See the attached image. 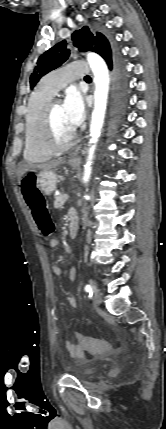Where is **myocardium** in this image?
<instances>
[{"label":"myocardium","instance_id":"myocardium-1","mask_svg":"<svg viewBox=\"0 0 166 429\" xmlns=\"http://www.w3.org/2000/svg\"><path fill=\"white\" fill-rule=\"evenodd\" d=\"M59 103H61L60 99L52 98L46 104L41 119V141L44 147L52 153L64 152L70 149L76 139V131L74 129L65 142H58L55 138L52 126V113L54 107Z\"/></svg>","mask_w":166,"mask_h":429}]
</instances>
